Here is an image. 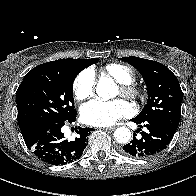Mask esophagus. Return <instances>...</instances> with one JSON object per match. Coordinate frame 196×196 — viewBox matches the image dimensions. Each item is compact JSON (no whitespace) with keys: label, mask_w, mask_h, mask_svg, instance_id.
<instances>
[{"label":"esophagus","mask_w":196,"mask_h":196,"mask_svg":"<svg viewBox=\"0 0 196 196\" xmlns=\"http://www.w3.org/2000/svg\"><path fill=\"white\" fill-rule=\"evenodd\" d=\"M116 127H108V128H105V130H111L113 131Z\"/></svg>","instance_id":"obj_1"}]
</instances>
